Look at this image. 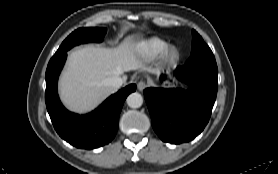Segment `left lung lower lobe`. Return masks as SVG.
<instances>
[{"instance_id":"left-lung-lower-lobe-1","label":"left lung lower lobe","mask_w":278,"mask_h":174,"mask_svg":"<svg viewBox=\"0 0 278 174\" xmlns=\"http://www.w3.org/2000/svg\"><path fill=\"white\" fill-rule=\"evenodd\" d=\"M174 75L188 85L186 90L151 87L144 90V97L157 135L164 142L179 144L193 140L208 123L217 94L218 70L185 64L177 67Z\"/></svg>"}]
</instances>
